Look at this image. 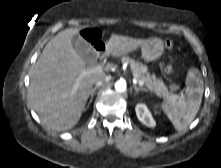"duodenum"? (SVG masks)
Returning a JSON list of instances; mask_svg holds the SVG:
<instances>
[{"mask_svg": "<svg viewBox=\"0 0 221 168\" xmlns=\"http://www.w3.org/2000/svg\"><path fill=\"white\" fill-rule=\"evenodd\" d=\"M94 52L97 57L102 58L106 52V46L102 41H97L94 44Z\"/></svg>", "mask_w": 221, "mask_h": 168, "instance_id": "duodenum-1", "label": "duodenum"}]
</instances>
